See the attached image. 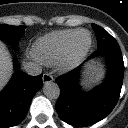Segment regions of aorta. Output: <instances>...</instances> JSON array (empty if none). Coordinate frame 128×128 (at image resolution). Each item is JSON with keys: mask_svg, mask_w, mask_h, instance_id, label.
I'll list each match as a JSON object with an SVG mask.
<instances>
[{"mask_svg": "<svg viewBox=\"0 0 128 128\" xmlns=\"http://www.w3.org/2000/svg\"><path fill=\"white\" fill-rule=\"evenodd\" d=\"M43 92L45 96L49 99H58L60 96V88L57 83L47 82L43 87Z\"/></svg>", "mask_w": 128, "mask_h": 128, "instance_id": "obj_1", "label": "aorta"}]
</instances>
